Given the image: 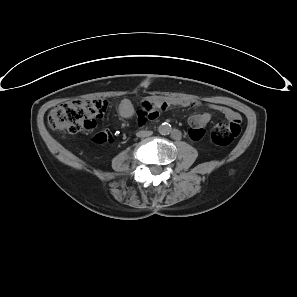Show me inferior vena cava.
<instances>
[{
  "instance_id": "1",
  "label": "inferior vena cava",
  "mask_w": 297,
  "mask_h": 297,
  "mask_svg": "<svg viewBox=\"0 0 297 297\" xmlns=\"http://www.w3.org/2000/svg\"><path fill=\"white\" fill-rule=\"evenodd\" d=\"M152 133H153L152 131L141 130L136 133V136L137 137H148V136L152 135Z\"/></svg>"
}]
</instances>
